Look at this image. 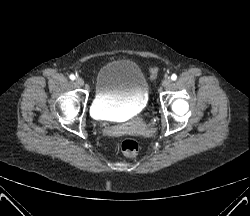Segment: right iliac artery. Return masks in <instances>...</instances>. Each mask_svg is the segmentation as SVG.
Wrapping results in <instances>:
<instances>
[{
  "instance_id": "right-iliac-artery-1",
  "label": "right iliac artery",
  "mask_w": 250,
  "mask_h": 216,
  "mask_svg": "<svg viewBox=\"0 0 250 216\" xmlns=\"http://www.w3.org/2000/svg\"><path fill=\"white\" fill-rule=\"evenodd\" d=\"M75 78H76L75 75H73V74L70 75L71 80H75Z\"/></svg>"
}]
</instances>
